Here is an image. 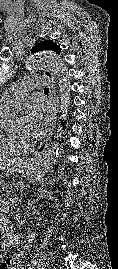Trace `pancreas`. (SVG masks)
<instances>
[{"instance_id":"obj_1","label":"pancreas","mask_w":118,"mask_h":269,"mask_svg":"<svg viewBox=\"0 0 118 269\" xmlns=\"http://www.w3.org/2000/svg\"><path fill=\"white\" fill-rule=\"evenodd\" d=\"M15 189V183L14 182H7L6 187H1V192H12V190Z\"/></svg>"}]
</instances>
